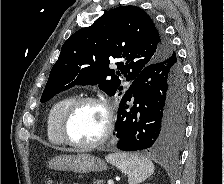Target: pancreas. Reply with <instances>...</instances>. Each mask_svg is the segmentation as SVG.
<instances>
[{
    "instance_id": "pancreas-1",
    "label": "pancreas",
    "mask_w": 224,
    "mask_h": 184,
    "mask_svg": "<svg viewBox=\"0 0 224 184\" xmlns=\"http://www.w3.org/2000/svg\"><path fill=\"white\" fill-rule=\"evenodd\" d=\"M94 184H100V182L99 181H94Z\"/></svg>"
}]
</instances>
